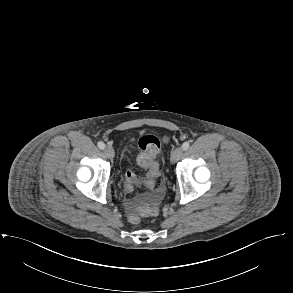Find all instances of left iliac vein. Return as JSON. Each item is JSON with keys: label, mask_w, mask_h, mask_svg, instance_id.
<instances>
[{"label": "left iliac vein", "mask_w": 293, "mask_h": 293, "mask_svg": "<svg viewBox=\"0 0 293 293\" xmlns=\"http://www.w3.org/2000/svg\"><path fill=\"white\" fill-rule=\"evenodd\" d=\"M182 154H183V149L181 147L175 148L171 153V158H170L171 162L174 163L177 160H179Z\"/></svg>", "instance_id": "obj_1"}]
</instances>
